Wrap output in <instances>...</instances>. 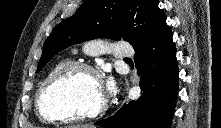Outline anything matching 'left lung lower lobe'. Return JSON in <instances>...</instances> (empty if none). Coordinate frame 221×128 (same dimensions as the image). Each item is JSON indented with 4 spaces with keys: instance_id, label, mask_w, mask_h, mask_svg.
<instances>
[{
    "instance_id": "left-lung-lower-lobe-1",
    "label": "left lung lower lobe",
    "mask_w": 221,
    "mask_h": 128,
    "mask_svg": "<svg viewBox=\"0 0 221 128\" xmlns=\"http://www.w3.org/2000/svg\"><path fill=\"white\" fill-rule=\"evenodd\" d=\"M172 30L166 16L135 49L142 96L113 116L95 123L106 128H170L178 93V66Z\"/></svg>"
}]
</instances>
